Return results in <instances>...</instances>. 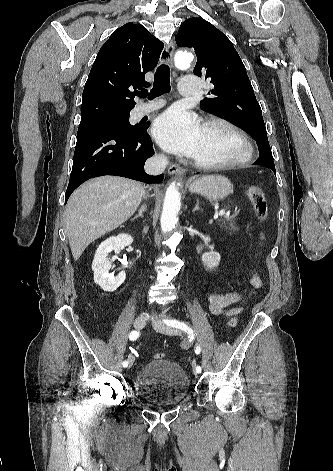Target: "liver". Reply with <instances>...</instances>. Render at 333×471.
<instances>
[{"label": "liver", "mask_w": 333, "mask_h": 471, "mask_svg": "<svg viewBox=\"0 0 333 471\" xmlns=\"http://www.w3.org/2000/svg\"><path fill=\"white\" fill-rule=\"evenodd\" d=\"M144 187L123 177L102 176L89 180L69 198L65 232L74 260L94 240L126 222L137 210Z\"/></svg>", "instance_id": "1"}]
</instances>
